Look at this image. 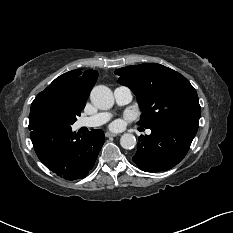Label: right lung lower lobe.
Masks as SVG:
<instances>
[{"label": "right lung lower lobe", "instance_id": "98d812e1", "mask_svg": "<svg viewBox=\"0 0 233 233\" xmlns=\"http://www.w3.org/2000/svg\"><path fill=\"white\" fill-rule=\"evenodd\" d=\"M29 130L40 161L66 180L86 177L105 140L104 133L97 129L80 138L71 128L40 126Z\"/></svg>", "mask_w": 233, "mask_h": 233}]
</instances>
